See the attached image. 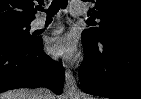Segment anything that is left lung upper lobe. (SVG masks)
<instances>
[{
  "mask_svg": "<svg viewBox=\"0 0 141 99\" xmlns=\"http://www.w3.org/2000/svg\"><path fill=\"white\" fill-rule=\"evenodd\" d=\"M95 7L90 11L100 19L99 27L86 29L82 37L98 44L106 37L141 38L140 0H91ZM89 12V13H90Z\"/></svg>",
  "mask_w": 141,
  "mask_h": 99,
  "instance_id": "left-lung-upper-lobe-1",
  "label": "left lung upper lobe"
}]
</instances>
